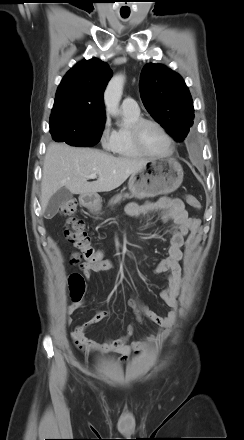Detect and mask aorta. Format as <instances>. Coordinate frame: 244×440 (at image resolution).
Masks as SVG:
<instances>
[{"instance_id":"obj_1","label":"aorta","mask_w":244,"mask_h":440,"mask_svg":"<svg viewBox=\"0 0 244 440\" xmlns=\"http://www.w3.org/2000/svg\"><path fill=\"white\" fill-rule=\"evenodd\" d=\"M125 77L123 75L114 76L108 83L104 93V103L106 111L112 116L120 114L119 103L123 93Z\"/></svg>"}]
</instances>
